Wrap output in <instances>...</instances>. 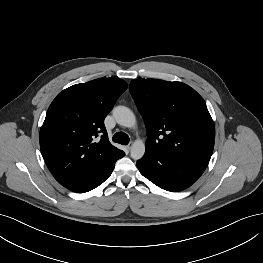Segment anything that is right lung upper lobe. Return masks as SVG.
<instances>
[{
	"mask_svg": "<svg viewBox=\"0 0 263 263\" xmlns=\"http://www.w3.org/2000/svg\"><path fill=\"white\" fill-rule=\"evenodd\" d=\"M128 84L117 78L73 85L48 108L40 129V148L55 177L68 188L124 154L108 140L104 119ZM99 135L101 139L95 140Z\"/></svg>",
	"mask_w": 263,
	"mask_h": 263,
	"instance_id": "obj_1",
	"label": "right lung upper lobe"
}]
</instances>
